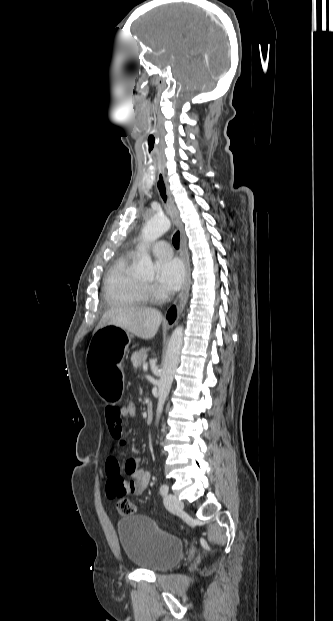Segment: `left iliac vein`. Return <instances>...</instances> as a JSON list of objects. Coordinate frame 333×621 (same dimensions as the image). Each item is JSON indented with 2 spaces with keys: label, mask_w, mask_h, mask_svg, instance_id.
<instances>
[{
  "label": "left iliac vein",
  "mask_w": 333,
  "mask_h": 621,
  "mask_svg": "<svg viewBox=\"0 0 333 621\" xmlns=\"http://www.w3.org/2000/svg\"><path fill=\"white\" fill-rule=\"evenodd\" d=\"M165 506L170 511H179L183 509V503L177 498L176 495L168 494L165 498Z\"/></svg>",
  "instance_id": "1"
}]
</instances>
